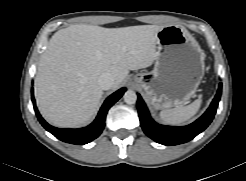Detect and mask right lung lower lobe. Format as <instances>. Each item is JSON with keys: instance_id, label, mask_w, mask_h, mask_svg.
I'll list each match as a JSON object with an SVG mask.
<instances>
[{"instance_id": "right-lung-lower-lobe-1", "label": "right lung lower lobe", "mask_w": 246, "mask_h": 181, "mask_svg": "<svg viewBox=\"0 0 246 181\" xmlns=\"http://www.w3.org/2000/svg\"><path fill=\"white\" fill-rule=\"evenodd\" d=\"M126 88H121L112 95H110L102 105L98 116L95 121L87 127L80 129H59L49 125L40 115L38 109L36 108V103L33 96L32 89V102L34 105V110L37 115L39 122L42 126L53 134L56 138L71 144L83 145L96 139L102 132L105 126V118L109 108L122 97Z\"/></svg>"}]
</instances>
